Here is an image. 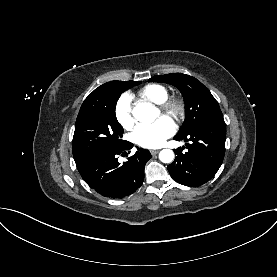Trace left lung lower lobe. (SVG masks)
<instances>
[{
	"label": "left lung lower lobe",
	"mask_w": 277,
	"mask_h": 277,
	"mask_svg": "<svg viewBox=\"0 0 277 277\" xmlns=\"http://www.w3.org/2000/svg\"><path fill=\"white\" fill-rule=\"evenodd\" d=\"M174 139L187 142L188 149L185 153L182 148L175 150L177 156L167 167L175 181L197 187L214 177L225 154L226 125L222 114L205 119L189 134Z\"/></svg>",
	"instance_id": "1"
}]
</instances>
